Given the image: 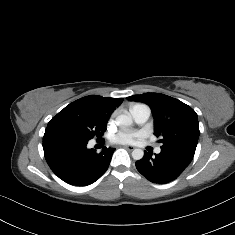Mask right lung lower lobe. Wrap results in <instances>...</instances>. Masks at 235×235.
I'll return each mask as SVG.
<instances>
[{"instance_id": "1", "label": "right lung lower lobe", "mask_w": 235, "mask_h": 235, "mask_svg": "<svg viewBox=\"0 0 235 235\" xmlns=\"http://www.w3.org/2000/svg\"><path fill=\"white\" fill-rule=\"evenodd\" d=\"M88 141L58 126L46 128L43 137L45 159L51 170L70 185H90L108 169L115 149L105 147L97 153L87 149Z\"/></svg>"}]
</instances>
